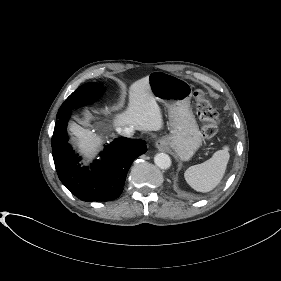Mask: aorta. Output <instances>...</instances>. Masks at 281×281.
<instances>
[{
  "instance_id": "1",
  "label": "aorta",
  "mask_w": 281,
  "mask_h": 281,
  "mask_svg": "<svg viewBox=\"0 0 281 281\" xmlns=\"http://www.w3.org/2000/svg\"><path fill=\"white\" fill-rule=\"evenodd\" d=\"M154 162L160 169H168L171 166V158L166 153L156 154L154 157Z\"/></svg>"
}]
</instances>
